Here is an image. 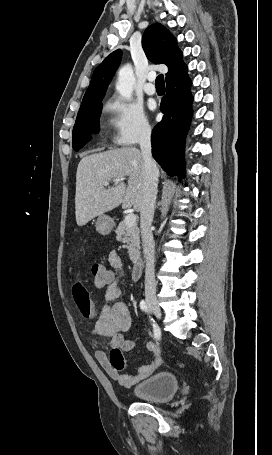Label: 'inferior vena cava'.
Wrapping results in <instances>:
<instances>
[{
	"mask_svg": "<svg viewBox=\"0 0 272 455\" xmlns=\"http://www.w3.org/2000/svg\"><path fill=\"white\" fill-rule=\"evenodd\" d=\"M140 149L143 158V200L140 209V227L143 250L146 258L145 295L156 296L154 276L155 244L151 231L158 186V169L151 154V129L145 128L140 136Z\"/></svg>",
	"mask_w": 272,
	"mask_h": 455,
	"instance_id": "inferior-vena-cava-1",
	"label": "inferior vena cava"
}]
</instances>
